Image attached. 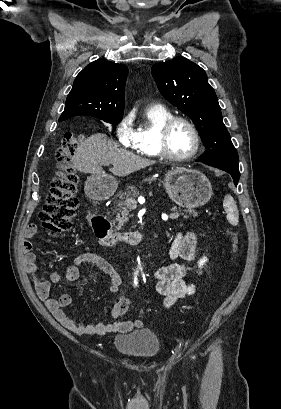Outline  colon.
<instances>
[{"label": "colon", "mask_w": 281, "mask_h": 409, "mask_svg": "<svg viewBox=\"0 0 281 409\" xmlns=\"http://www.w3.org/2000/svg\"><path fill=\"white\" fill-rule=\"evenodd\" d=\"M80 136L76 132L66 133L62 140V146L57 151L56 158L59 162V170L54 180L48 202L39 213L42 227L52 235H58L69 230L75 210L77 198L73 195L76 190L78 178L73 169L72 157L75 154ZM231 247L234 255L238 252L236 240L231 238ZM122 308L121 314L127 312Z\"/></svg>", "instance_id": "5ec220e1"}]
</instances>
